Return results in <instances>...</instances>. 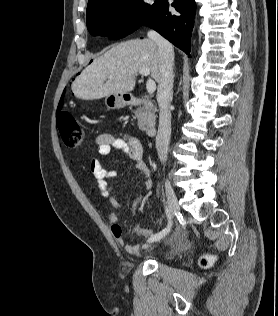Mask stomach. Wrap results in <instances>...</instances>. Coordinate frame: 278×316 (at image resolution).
<instances>
[{
	"instance_id": "1",
	"label": "stomach",
	"mask_w": 278,
	"mask_h": 316,
	"mask_svg": "<svg viewBox=\"0 0 278 316\" xmlns=\"http://www.w3.org/2000/svg\"><path fill=\"white\" fill-rule=\"evenodd\" d=\"M105 104L109 109H117L128 104V101L123 96L109 95L105 99Z\"/></svg>"
}]
</instances>
